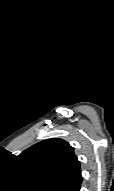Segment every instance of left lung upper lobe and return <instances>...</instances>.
<instances>
[{"label": "left lung upper lobe", "instance_id": "left-lung-upper-lobe-1", "mask_svg": "<svg viewBox=\"0 0 114 191\" xmlns=\"http://www.w3.org/2000/svg\"><path fill=\"white\" fill-rule=\"evenodd\" d=\"M17 161L20 174L38 191H69L81 176L80 163L73 147L59 138L43 140L31 146L17 157Z\"/></svg>", "mask_w": 114, "mask_h": 191}]
</instances>
